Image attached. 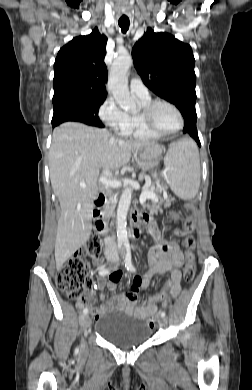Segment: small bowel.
I'll return each instance as SVG.
<instances>
[{
	"label": "small bowel",
	"instance_id": "c3829d8e",
	"mask_svg": "<svg viewBox=\"0 0 252 390\" xmlns=\"http://www.w3.org/2000/svg\"><path fill=\"white\" fill-rule=\"evenodd\" d=\"M142 219L147 225L148 229L156 236L157 243L149 250L148 259L151 265V269L142 277H136L129 291L115 295L104 302L97 315V318L103 314L117 312L120 314H126L136 319H148L157 312V306L155 301L150 298L144 303L140 302L138 291H144L148 288L153 276L170 273V280L167 282L164 291L162 293L163 303L165 306L170 298L173 299L181 292V279L182 274L179 268L184 263V257L179 250L178 245L175 242H167L163 240L156 227L154 220L147 211H142ZM181 233V232H179ZM94 264L101 265L99 258H94ZM121 279L119 272L113 273L108 279L105 276L100 275L97 281V288L100 291L104 289L115 290L117 283ZM92 293H88V297H91ZM78 308L83 307V303H77Z\"/></svg>",
	"mask_w": 252,
	"mask_h": 390
}]
</instances>
